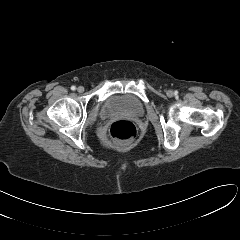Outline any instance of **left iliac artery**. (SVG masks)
<instances>
[{
	"mask_svg": "<svg viewBox=\"0 0 240 240\" xmlns=\"http://www.w3.org/2000/svg\"><path fill=\"white\" fill-rule=\"evenodd\" d=\"M178 94V92L177 91H175V95H177Z\"/></svg>",
	"mask_w": 240,
	"mask_h": 240,
	"instance_id": "left-iliac-artery-1",
	"label": "left iliac artery"
}]
</instances>
